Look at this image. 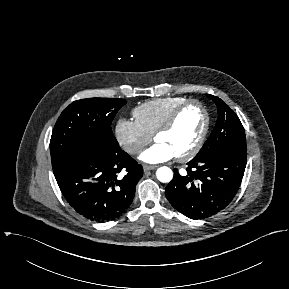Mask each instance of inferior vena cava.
Returning a JSON list of instances; mask_svg holds the SVG:
<instances>
[{
    "mask_svg": "<svg viewBox=\"0 0 289 289\" xmlns=\"http://www.w3.org/2000/svg\"><path fill=\"white\" fill-rule=\"evenodd\" d=\"M141 151H142V149L140 147H136V146L128 148V152L131 154H137V153H140Z\"/></svg>",
    "mask_w": 289,
    "mask_h": 289,
    "instance_id": "inferior-vena-cava-1",
    "label": "inferior vena cava"
}]
</instances>
